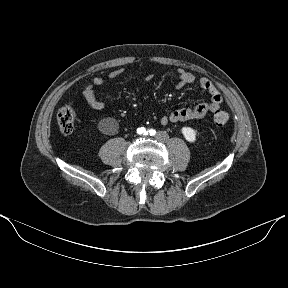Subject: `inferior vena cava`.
Instances as JSON below:
<instances>
[{
	"mask_svg": "<svg viewBox=\"0 0 288 288\" xmlns=\"http://www.w3.org/2000/svg\"><path fill=\"white\" fill-rule=\"evenodd\" d=\"M157 139H158V141L161 142V143H166V142H168L169 139H170V134H169V132L166 131V130H161V131H159L158 134H157Z\"/></svg>",
	"mask_w": 288,
	"mask_h": 288,
	"instance_id": "inferior-vena-cava-1",
	"label": "inferior vena cava"
}]
</instances>
